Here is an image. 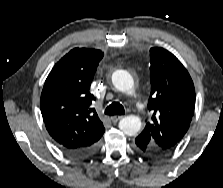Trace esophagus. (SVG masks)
<instances>
[{
  "label": "esophagus",
  "mask_w": 223,
  "mask_h": 188,
  "mask_svg": "<svg viewBox=\"0 0 223 188\" xmlns=\"http://www.w3.org/2000/svg\"><path fill=\"white\" fill-rule=\"evenodd\" d=\"M123 118V116L122 115H119V116H112L111 117V121L113 122V123H116V122H118L120 119H122Z\"/></svg>",
  "instance_id": "esophagus-1"
}]
</instances>
